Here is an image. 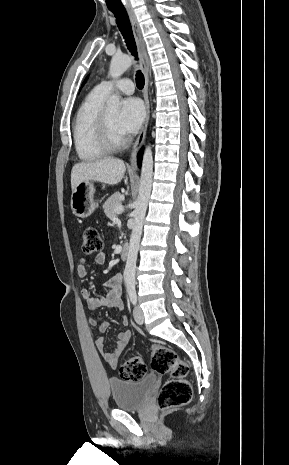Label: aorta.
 I'll use <instances>...</instances> for the list:
<instances>
[{
	"label": "aorta",
	"instance_id": "obj_1",
	"mask_svg": "<svg viewBox=\"0 0 289 465\" xmlns=\"http://www.w3.org/2000/svg\"><path fill=\"white\" fill-rule=\"evenodd\" d=\"M133 63V59L127 55L114 56L110 63L109 75L112 78L120 77ZM109 109L118 110L121 106L119 96L113 94L106 102ZM153 176V156L152 148L148 145L144 151L141 179L139 187V195L136 202V207L133 212L134 227L130 237L129 252L125 266V278L128 291H135L136 279V260L139 250V244L142 234L143 222L148 206V201L151 193Z\"/></svg>",
	"mask_w": 289,
	"mask_h": 465
}]
</instances>
